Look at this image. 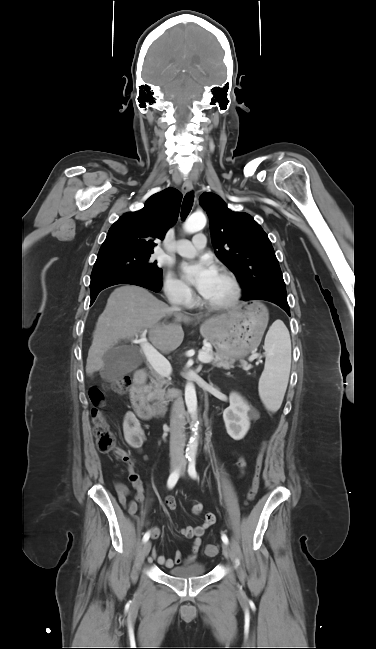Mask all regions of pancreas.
Returning a JSON list of instances; mask_svg holds the SVG:
<instances>
[{
  "instance_id": "obj_1",
  "label": "pancreas",
  "mask_w": 376,
  "mask_h": 649,
  "mask_svg": "<svg viewBox=\"0 0 376 649\" xmlns=\"http://www.w3.org/2000/svg\"><path fill=\"white\" fill-rule=\"evenodd\" d=\"M201 352H206L208 354H211V352L208 349H203ZM212 365L217 366V367H222L224 369H230L234 368V360H229L220 354L216 353L215 357H212ZM242 368L244 369L245 362L241 363ZM151 375L150 377L151 383L147 387V399L149 401H161L165 403L164 401V396H165V389L168 387L170 384V381L166 379L165 376L157 373L155 370H151ZM158 404V403H156Z\"/></svg>"
}]
</instances>
